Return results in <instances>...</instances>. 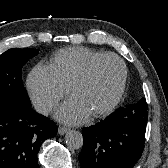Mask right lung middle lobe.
Segmentation results:
<instances>
[{
	"label": "right lung middle lobe",
	"instance_id": "obj_1",
	"mask_svg": "<svg viewBox=\"0 0 168 168\" xmlns=\"http://www.w3.org/2000/svg\"><path fill=\"white\" fill-rule=\"evenodd\" d=\"M37 54L35 49H9L0 55V100L31 106L21 70Z\"/></svg>",
	"mask_w": 168,
	"mask_h": 168
}]
</instances>
